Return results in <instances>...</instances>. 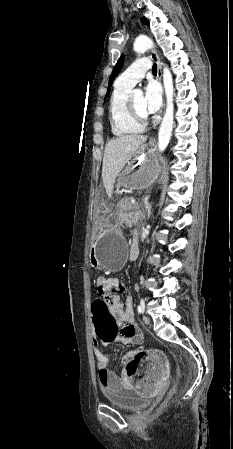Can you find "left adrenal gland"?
Listing matches in <instances>:
<instances>
[{"label":"left adrenal gland","instance_id":"obj_1","mask_svg":"<svg viewBox=\"0 0 233 449\" xmlns=\"http://www.w3.org/2000/svg\"><path fill=\"white\" fill-rule=\"evenodd\" d=\"M148 198H149V197H146L144 203H145L146 214H147V217H148V219H149L150 216H151V208H152V206L148 203Z\"/></svg>","mask_w":233,"mask_h":449}]
</instances>
